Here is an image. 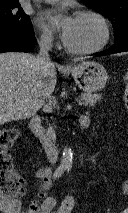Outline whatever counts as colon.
<instances>
[{
	"label": "colon",
	"mask_w": 128,
	"mask_h": 213,
	"mask_svg": "<svg viewBox=\"0 0 128 213\" xmlns=\"http://www.w3.org/2000/svg\"><path fill=\"white\" fill-rule=\"evenodd\" d=\"M125 84L124 101L128 110V70L123 75ZM18 130L6 128L0 130V198L13 200L24 191L23 180L17 174L11 156V147L18 138ZM124 191L128 195V179L124 183ZM75 200L68 195L61 203L57 213H70L74 208Z\"/></svg>",
	"instance_id": "colon-1"
}]
</instances>
